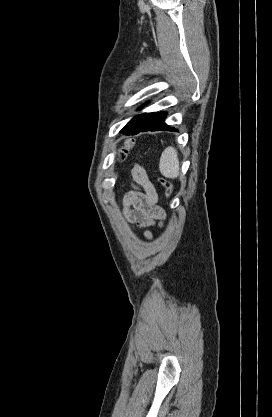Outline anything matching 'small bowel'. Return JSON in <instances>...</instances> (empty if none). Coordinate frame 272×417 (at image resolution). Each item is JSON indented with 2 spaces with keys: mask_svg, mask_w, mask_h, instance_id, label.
Listing matches in <instances>:
<instances>
[{
  "mask_svg": "<svg viewBox=\"0 0 272 417\" xmlns=\"http://www.w3.org/2000/svg\"><path fill=\"white\" fill-rule=\"evenodd\" d=\"M132 179L141 190L126 195L124 211L126 219L138 227L149 228L164 219V211L157 205L158 195L155 187L141 166L133 167ZM143 234L145 238L152 239L150 230H145Z\"/></svg>",
  "mask_w": 272,
  "mask_h": 417,
  "instance_id": "c3829d8e",
  "label": "small bowel"
}]
</instances>
